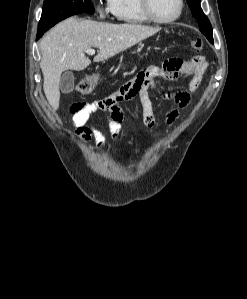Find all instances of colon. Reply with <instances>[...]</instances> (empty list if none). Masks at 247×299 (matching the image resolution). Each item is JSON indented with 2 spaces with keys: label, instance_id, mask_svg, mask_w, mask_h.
I'll use <instances>...</instances> for the list:
<instances>
[{
  "label": "colon",
  "instance_id": "obj_1",
  "mask_svg": "<svg viewBox=\"0 0 247 299\" xmlns=\"http://www.w3.org/2000/svg\"><path fill=\"white\" fill-rule=\"evenodd\" d=\"M190 45L194 50L199 51L203 47V42L200 38H194L190 41ZM97 81L96 75H86L79 80L76 90L82 95L90 94L94 91Z\"/></svg>",
  "mask_w": 247,
  "mask_h": 299
}]
</instances>
